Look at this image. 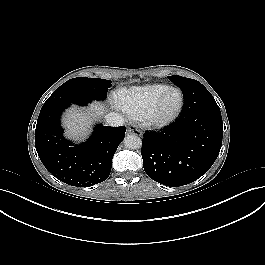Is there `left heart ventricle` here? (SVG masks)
Listing matches in <instances>:
<instances>
[{
  "label": "left heart ventricle",
  "mask_w": 265,
  "mask_h": 265,
  "mask_svg": "<svg viewBox=\"0 0 265 265\" xmlns=\"http://www.w3.org/2000/svg\"><path fill=\"white\" fill-rule=\"evenodd\" d=\"M179 102V94L171 91L167 94L164 102L161 105L160 111L162 114H169L172 112Z\"/></svg>",
  "instance_id": "1"
}]
</instances>
